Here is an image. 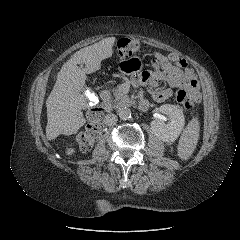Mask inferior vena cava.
I'll use <instances>...</instances> for the list:
<instances>
[{"instance_id":"inferior-vena-cava-1","label":"inferior vena cava","mask_w":240,"mask_h":240,"mask_svg":"<svg viewBox=\"0 0 240 240\" xmlns=\"http://www.w3.org/2000/svg\"><path fill=\"white\" fill-rule=\"evenodd\" d=\"M117 116L115 114H107L103 120V123L106 125V126H113L117 123Z\"/></svg>"}]
</instances>
